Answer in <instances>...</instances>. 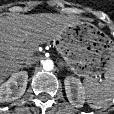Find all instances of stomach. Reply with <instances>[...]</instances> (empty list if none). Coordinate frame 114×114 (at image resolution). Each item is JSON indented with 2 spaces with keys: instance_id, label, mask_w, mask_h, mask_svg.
Returning <instances> with one entry per match:
<instances>
[{
  "instance_id": "1",
  "label": "stomach",
  "mask_w": 114,
  "mask_h": 114,
  "mask_svg": "<svg viewBox=\"0 0 114 114\" xmlns=\"http://www.w3.org/2000/svg\"><path fill=\"white\" fill-rule=\"evenodd\" d=\"M66 65L77 75L94 80L114 66V42L102 30L80 21L54 41Z\"/></svg>"
}]
</instances>
